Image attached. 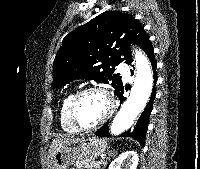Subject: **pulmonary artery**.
I'll return each instance as SVG.
<instances>
[{"label": "pulmonary artery", "instance_id": "obj_1", "mask_svg": "<svg viewBox=\"0 0 200 169\" xmlns=\"http://www.w3.org/2000/svg\"><path fill=\"white\" fill-rule=\"evenodd\" d=\"M120 71L122 72V74H123V76H124L125 78H129L130 73H129V71H128L126 68L120 67Z\"/></svg>", "mask_w": 200, "mask_h": 169}]
</instances>
